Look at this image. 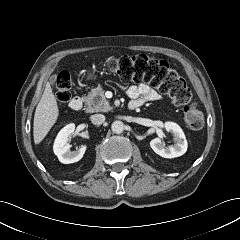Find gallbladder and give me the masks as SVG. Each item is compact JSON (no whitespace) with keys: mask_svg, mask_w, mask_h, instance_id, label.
Listing matches in <instances>:
<instances>
[{"mask_svg":"<svg viewBox=\"0 0 240 240\" xmlns=\"http://www.w3.org/2000/svg\"><path fill=\"white\" fill-rule=\"evenodd\" d=\"M51 84L55 83V78L50 79Z\"/></svg>","mask_w":240,"mask_h":240,"instance_id":"bac80fb5","label":"gallbladder"}]
</instances>
